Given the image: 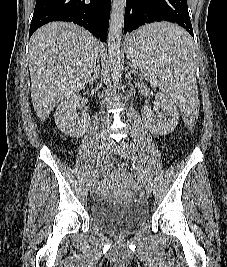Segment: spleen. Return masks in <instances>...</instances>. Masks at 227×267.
<instances>
[{
    "instance_id": "obj_1",
    "label": "spleen",
    "mask_w": 227,
    "mask_h": 267,
    "mask_svg": "<svg viewBox=\"0 0 227 267\" xmlns=\"http://www.w3.org/2000/svg\"><path fill=\"white\" fill-rule=\"evenodd\" d=\"M126 51L141 77L160 81L185 115H197L196 55L191 37L177 22H149L129 31Z\"/></svg>"
}]
</instances>
